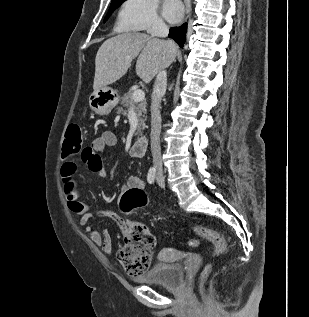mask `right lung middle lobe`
Segmentation results:
<instances>
[{"label":"right lung middle lobe","mask_w":309,"mask_h":317,"mask_svg":"<svg viewBox=\"0 0 309 317\" xmlns=\"http://www.w3.org/2000/svg\"><path fill=\"white\" fill-rule=\"evenodd\" d=\"M124 1L125 0H112L108 14L106 15L104 21H106L109 18V16L111 15V13Z\"/></svg>","instance_id":"right-lung-middle-lobe-1"}]
</instances>
